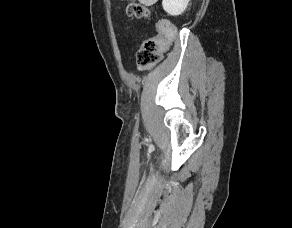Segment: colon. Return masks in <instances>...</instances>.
Here are the masks:
<instances>
[{"label": "colon", "mask_w": 292, "mask_h": 228, "mask_svg": "<svg viewBox=\"0 0 292 228\" xmlns=\"http://www.w3.org/2000/svg\"><path fill=\"white\" fill-rule=\"evenodd\" d=\"M127 14L133 18H148L150 13L145 6L131 3L127 7ZM157 31V35L144 40L136 48V62L141 70L150 69L160 61L175 34L173 27L166 23H159Z\"/></svg>", "instance_id": "1"}]
</instances>
